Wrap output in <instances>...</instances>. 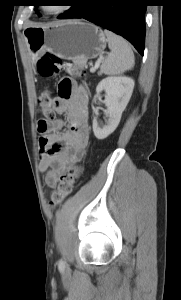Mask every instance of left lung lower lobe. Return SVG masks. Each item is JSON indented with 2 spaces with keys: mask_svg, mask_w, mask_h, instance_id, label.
<instances>
[{
  "mask_svg": "<svg viewBox=\"0 0 181 300\" xmlns=\"http://www.w3.org/2000/svg\"><path fill=\"white\" fill-rule=\"evenodd\" d=\"M59 18H84L127 39L143 56L145 45L144 0H79Z\"/></svg>",
  "mask_w": 181,
  "mask_h": 300,
  "instance_id": "left-lung-lower-lobe-1",
  "label": "left lung lower lobe"
}]
</instances>
